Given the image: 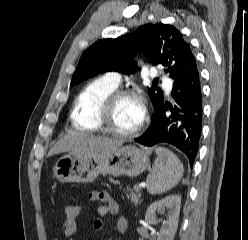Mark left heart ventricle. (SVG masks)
I'll list each match as a JSON object with an SVG mask.
<instances>
[{
    "instance_id": "left-heart-ventricle-1",
    "label": "left heart ventricle",
    "mask_w": 248,
    "mask_h": 240,
    "mask_svg": "<svg viewBox=\"0 0 248 240\" xmlns=\"http://www.w3.org/2000/svg\"><path fill=\"white\" fill-rule=\"evenodd\" d=\"M141 111L139 100L133 97L122 98L111 112V126L116 130L129 132L138 126Z\"/></svg>"
}]
</instances>
